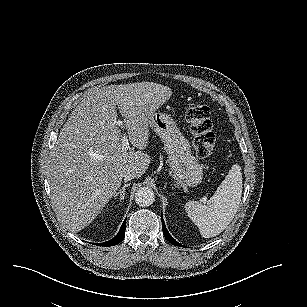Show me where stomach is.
Segmentation results:
<instances>
[{
  "instance_id": "0dacf381",
  "label": "stomach",
  "mask_w": 307,
  "mask_h": 307,
  "mask_svg": "<svg viewBox=\"0 0 307 307\" xmlns=\"http://www.w3.org/2000/svg\"><path fill=\"white\" fill-rule=\"evenodd\" d=\"M150 120V127L164 144L175 185L195 187L200 184L203 166L192 155L189 140L177 127L174 119L168 114L154 112Z\"/></svg>"
}]
</instances>
